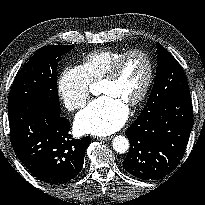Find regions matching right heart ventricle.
Returning a JSON list of instances; mask_svg holds the SVG:
<instances>
[{
	"instance_id": "right-heart-ventricle-1",
	"label": "right heart ventricle",
	"mask_w": 205,
	"mask_h": 205,
	"mask_svg": "<svg viewBox=\"0 0 205 205\" xmlns=\"http://www.w3.org/2000/svg\"><path fill=\"white\" fill-rule=\"evenodd\" d=\"M126 51L99 50L87 54L81 64L88 81L98 82L110 69L111 65Z\"/></svg>"
}]
</instances>
